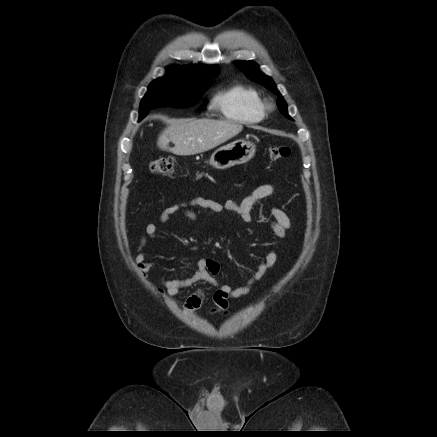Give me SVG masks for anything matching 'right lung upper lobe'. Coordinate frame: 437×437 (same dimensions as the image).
<instances>
[{
  "label": "right lung upper lobe",
  "instance_id": "obj_1",
  "mask_svg": "<svg viewBox=\"0 0 437 437\" xmlns=\"http://www.w3.org/2000/svg\"><path fill=\"white\" fill-rule=\"evenodd\" d=\"M218 66H191L181 68L170 67L166 71V78L181 80L187 83H203L212 81V78L219 74Z\"/></svg>",
  "mask_w": 437,
  "mask_h": 437
}]
</instances>
